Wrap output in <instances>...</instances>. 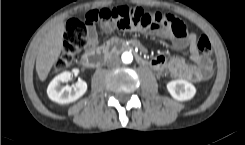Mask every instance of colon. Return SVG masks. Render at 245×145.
Returning a JSON list of instances; mask_svg holds the SVG:
<instances>
[{
	"label": "colon",
	"mask_w": 245,
	"mask_h": 145,
	"mask_svg": "<svg viewBox=\"0 0 245 145\" xmlns=\"http://www.w3.org/2000/svg\"><path fill=\"white\" fill-rule=\"evenodd\" d=\"M96 16L103 20H116L117 26L122 30L154 31L160 27L162 22L160 14L145 11L140 7L103 9L98 11ZM172 28L177 36H181L185 31V26L178 21L172 23ZM85 33L86 27L82 22L71 20L66 23L63 50L62 54L55 61V70H60L67 66L81 51L86 43ZM195 45L202 54H210L211 45L206 36L198 37Z\"/></svg>",
	"instance_id": "5ec220e1"
}]
</instances>
